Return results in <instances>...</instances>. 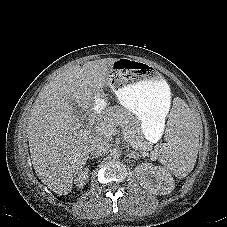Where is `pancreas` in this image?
Returning a JSON list of instances; mask_svg holds the SVG:
<instances>
[{
	"label": "pancreas",
	"mask_w": 227,
	"mask_h": 227,
	"mask_svg": "<svg viewBox=\"0 0 227 227\" xmlns=\"http://www.w3.org/2000/svg\"><path fill=\"white\" fill-rule=\"evenodd\" d=\"M98 126L109 130L110 135L106 137L113 135L116 131V127L121 126L127 141H129L132 146L134 145L140 150H147L151 147L150 143L143 142L138 122L123 109H108Z\"/></svg>",
	"instance_id": "cf45deb5"
}]
</instances>
